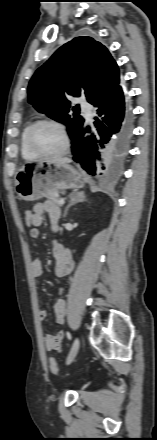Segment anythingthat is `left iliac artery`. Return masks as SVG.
I'll use <instances>...</instances> for the list:
<instances>
[{
	"label": "left iliac artery",
	"instance_id": "44dca946",
	"mask_svg": "<svg viewBox=\"0 0 157 440\" xmlns=\"http://www.w3.org/2000/svg\"><path fill=\"white\" fill-rule=\"evenodd\" d=\"M68 338L71 339V335L68 333Z\"/></svg>",
	"mask_w": 157,
	"mask_h": 440
}]
</instances>
